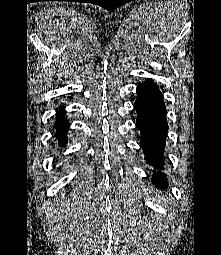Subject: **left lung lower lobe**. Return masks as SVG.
<instances>
[{
    "instance_id": "0a47b994",
    "label": "left lung lower lobe",
    "mask_w": 221,
    "mask_h": 255,
    "mask_svg": "<svg viewBox=\"0 0 221 255\" xmlns=\"http://www.w3.org/2000/svg\"><path fill=\"white\" fill-rule=\"evenodd\" d=\"M136 126L141 131V147L150 164L160 166L165 146L168 124L165 117L166 107L162 93L152 81H145L137 87ZM154 185L167 188V181L158 172L153 179Z\"/></svg>"
}]
</instances>
